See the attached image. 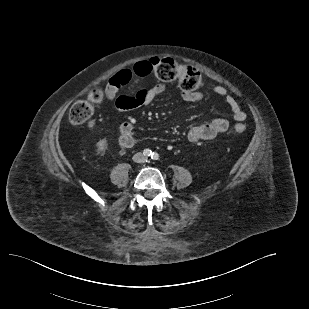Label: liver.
<instances>
[{
	"label": "liver",
	"mask_w": 309,
	"mask_h": 309,
	"mask_svg": "<svg viewBox=\"0 0 309 309\" xmlns=\"http://www.w3.org/2000/svg\"><path fill=\"white\" fill-rule=\"evenodd\" d=\"M89 126L92 127V126H93V122H90V123H89Z\"/></svg>",
	"instance_id": "6515ba94"
}]
</instances>
